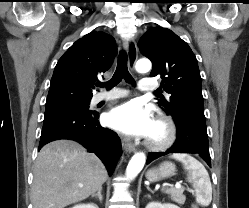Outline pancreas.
Segmentation results:
<instances>
[{"mask_svg":"<svg viewBox=\"0 0 249 208\" xmlns=\"http://www.w3.org/2000/svg\"><path fill=\"white\" fill-rule=\"evenodd\" d=\"M183 192H184L183 188L171 189L169 191L171 199L180 205H183L186 200V197L183 195Z\"/></svg>","mask_w":249,"mask_h":208,"instance_id":"obj_1","label":"pancreas"}]
</instances>
